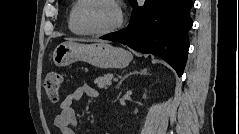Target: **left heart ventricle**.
<instances>
[{
    "label": "left heart ventricle",
    "instance_id": "b2bd125f",
    "mask_svg": "<svg viewBox=\"0 0 239 134\" xmlns=\"http://www.w3.org/2000/svg\"><path fill=\"white\" fill-rule=\"evenodd\" d=\"M118 12L113 4L106 0L92 1L84 10L86 25L93 30H104L115 24Z\"/></svg>",
    "mask_w": 239,
    "mask_h": 134
}]
</instances>
